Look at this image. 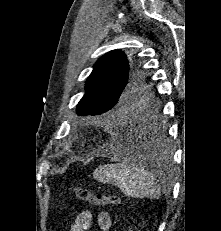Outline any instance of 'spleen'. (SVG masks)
<instances>
[{
	"mask_svg": "<svg viewBox=\"0 0 221 231\" xmlns=\"http://www.w3.org/2000/svg\"><path fill=\"white\" fill-rule=\"evenodd\" d=\"M94 177L100 182L118 186L129 197L156 199L161 195V188L154 175L126 159L100 166L94 172Z\"/></svg>",
	"mask_w": 221,
	"mask_h": 231,
	"instance_id": "3e777b00",
	"label": "spleen"
}]
</instances>
